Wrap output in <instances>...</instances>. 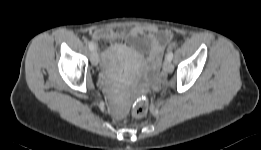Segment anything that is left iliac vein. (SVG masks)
I'll use <instances>...</instances> for the list:
<instances>
[{"mask_svg":"<svg viewBox=\"0 0 261 150\" xmlns=\"http://www.w3.org/2000/svg\"><path fill=\"white\" fill-rule=\"evenodd\" d=\"M163 69L167 73H172L173 72V65H172L170 60L165 59V61L163 63Z\"/></svg>","mask_w":261,"mask_h":150,"instance_id":"obj_1","label":"left iliac vein"}]
</instances>
